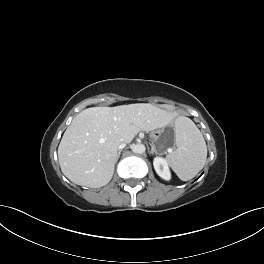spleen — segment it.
<instances>
[{
    "label": "spleen",
    "instance_id": "3e777b00",
    "mask_svg": "<svg viewBox=\"0 0 264 264\" xmlns=\"http://www.w3.org/2000/svg\"><path fill=\"white\" fill-rule=\"evenodd\" d=\"M175 144L177 149L167 155V161L181 180L188 181L204 167L207 158L203 135L188 117L175 121Z\"/></svg>",
    "mask_w": 264,
    "mask_h": 264
}]
</instances>
